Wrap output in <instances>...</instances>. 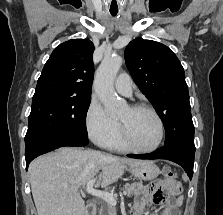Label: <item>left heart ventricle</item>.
Listing matches in <instances>:
<instances>
[{
    "instance_id": "left-heart-ventricle-1",
    "label": "left heart ventricle",
    "mask_w": 223,
    "mask_h": 215,
    "mask_svg": "<svg viewBox=\"0 0 223 215\" xmlns=\"http://www.w3.org/2000/svg\"><path fill=\"white\" fill-rule=\"evenodd\" d=\"M118 119L133 146L145 149L155 144L158 138V126L148 111L126 107Z\"/></svg>"
}]
</instances>
